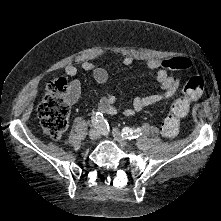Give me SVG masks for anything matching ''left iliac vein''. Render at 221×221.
<instances>
[{
	"label": "left iliac vein",
	"mask_w": 221,
	"mask_h": 221,
	"mask_svg": "<svg viewBox=\"0 0 221 221\" xmlns=\"http://www.w3.org/2000/svg\"><path fill=\"white\" fill-rule=\"evenodd\" d=\"M113 137L120 143L122 146H127L128 141L122 136L121 132L117 128L112 129Z\"/></svg>",
	"instance_id": "4c4485c4"
}]
</instances>
